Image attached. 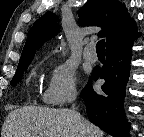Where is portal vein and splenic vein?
Segmentation results:
<instances>
[{
  "mask_svg": "<svg viewBox=\"0 0 144 137\" xmlns=\"http://www.w3.org/2000/svg\"><path fill=\"white\" fill-rule=\"evenodd\" d=\"M42 136H43V137H44V136H47V137H48V135H42Z\"/></svg>",
  "mask_w": 144,
  "mask_h": 137,
  "instance_id": "1",
  "label": "portal vein and splenic vein"
}]
</instances>
